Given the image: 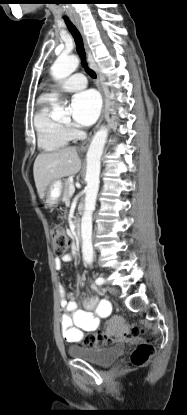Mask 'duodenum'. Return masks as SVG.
<instances>
[{
    "label": "duodenum",
    "mask_w": 187,
    "mask_h": 415,
    "mask_svg": "<svg viewBox=\"0 0 187 415\" xmlns=\"http://www.w3.org/2000/svg\"><path fill=\"white\" fill-rule=\"evenodd\" d=\"M73 236L76 240H81V223L79 220L74 222L73 225Z\"/></svg>",
    "instance_id": "duodenum-1"
}]
</instances>
